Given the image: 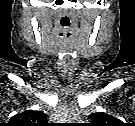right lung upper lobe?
Returning <instances> with one entry per match:
<instances>
[{
	"label": "right lung upper lobe",
	"instance_id": "obj_1",
	"mask_svg": "<svg viewBox=\"0 0 135 126\" xmlns=\"http://www.w3.org/2000/svg\"><path fill=\"white\" fill-rule=\"evenodd\" d=\"M44 118H45V114L43 112L28 110L19 113L17 115H14L10 119V122H12L11 124H15V125L35 124V123L40 124V122H43Z\"/></svg>",
	"mask_w": 135,
	"mask_h": 126
}]
</instances>
